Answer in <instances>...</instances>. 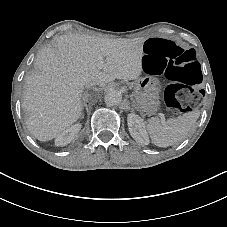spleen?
<instances>
[{"label":"spleen","mask_w":227,"mask_h":227,"mask_svg":"<svg viewBox=\"0 0 227 227\" xmlns=\"http://www.w3.org/2000/svg\"><path fill=\"white\" fill-rule=\"evenodd\" d=\"M200 116L199 110L184 113L177 118L160 122L156 117L148 121L147 130L152 142L158 147H168L184 140Z\"/></svg>","instance_id":"3e777b00"}]
</instances>
